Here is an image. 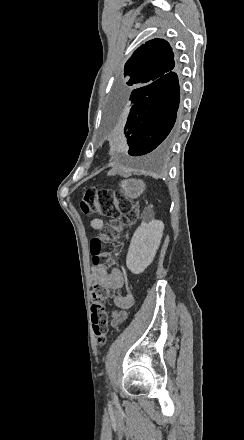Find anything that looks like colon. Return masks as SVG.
Here are the masks:
<instances>
[{
    "instance_id": "1",
    "label": "colon",
    "mask_w": 244,
    "mask_h": 440,
    "mask_svg": "<svg viewBox=\"0 0 244 440\" xmlns=\"http://www.w3.org/2000/svg\"><path fill=\"white\" fill-rule=\"evenodd\" d=\"M84 215H97L105 220L100 227V233L90 242L89 253L96 263L102 266L114 267L117 265L115 250L119 238V231L123 225H131L135 221V212L124 202L115 199L114 192L105 189L87 188L80 202ZM111 291L104 285L93 288L89 307L93 334L100 347L105 346L108 334L106 302Z\"/></svg>"
}]
</instances>
